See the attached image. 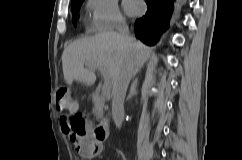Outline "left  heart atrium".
Segmentation results:
<instances>
[{
  "mask_svg": "<svg viewBox=\"0 0 242 160\" xmlns=\"http://www.w3.org/2000/svg\"><path fill=\"white\" fill-rule=\"evenodd\" d=\"M125 10L132 15L140 14L143 10V3L140 0H124Z\"/></svg>",
  "mask_w": 242,
  "mask_h": 160,
  "instance_id": "obj_1",
  "label": "left heart atrium"
}]
</instances>
